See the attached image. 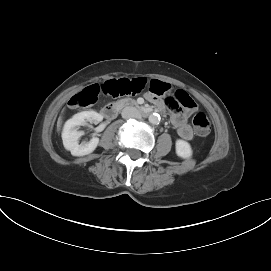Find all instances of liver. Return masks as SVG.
<instances>
[{
	"mask_svg": "<svg viewBox=\"0 0 271 271\" xmlns=\"http://www.w3.org/2000/svg\"><path fill=\"white\" fill-rule=\"evenodd\" d=\"M60 126H61V119H59L58 121V129L60 128Z\"/></svg>",
	"mask_w": 271,
	"mask_h": 271,
	"instance_id": "6515ba94",
	"label": "liver"
}]
</instances>
